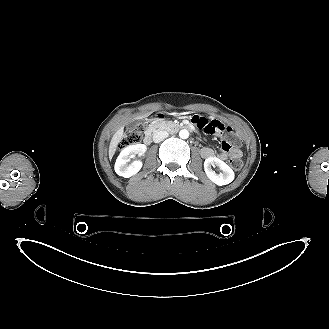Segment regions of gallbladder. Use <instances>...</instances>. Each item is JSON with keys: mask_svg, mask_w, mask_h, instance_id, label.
<instances>
[{"mask_svg": "<svg viewBox=\"0 0 329 329\" xmlns=\"http://www.w3.org/2000/svg\"><path fill=\"white\" fill-rule=\"evenodd\" d=\"M139 123V121H134V122H131L128 126L133 128L134 126H136L137 124Z\"/></svg>", "mask_w": 329, "mask_h": 329, "instance_id": "gallbladder-1", "label": "gallbladder"}]
</instances>
